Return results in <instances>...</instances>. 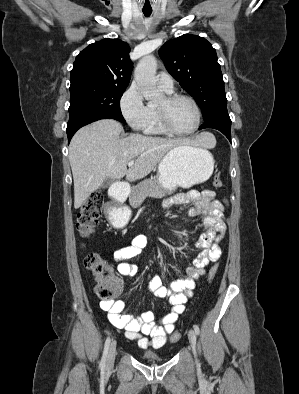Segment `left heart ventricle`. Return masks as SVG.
<instances>
[{
  "label": "left heart ventricle",
  "mask_w": 299,
  "mask_h": 394,
  "mask_svg": "<svg viewBox=\"0 0 299 394\" xmlns=\"http://www.w3.org/2000/svg\"><path fill=\"white\" fill-rule=\"evenodd\" d=\"M163 99L157 106H163ZM168 116L171 125L179 131H187L194 127L196 123V111L193 105L184 99L175 101L168 107Z\"/></svg>",
  "instance_id": "obj_1"
}]
</instances>
